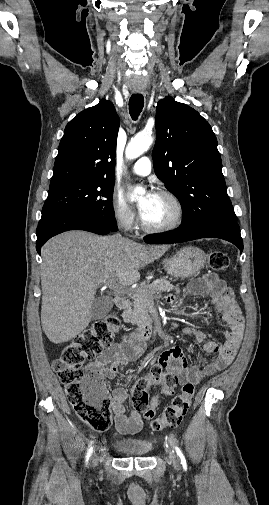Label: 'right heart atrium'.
<instances>
[{"label": "right heart atrium", "mask_w": 269, "mask_h": 505, "mask_svg": "<svg viewBox=\"0 0 269 505\" xmlns=\"http://www.w3.org/2000/svg\"><path fill=\"white\" fill-rule=\"evenodd\" d=\"M111 209L116 222L123 228L130 229L135 225L136 215L125 197L119 191H114L111 197Z\"/></svg>", "instance_id": "1"}]
</instances>
